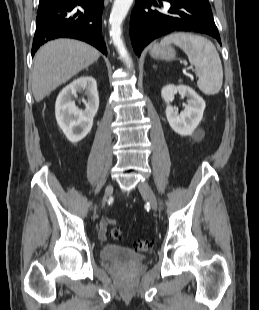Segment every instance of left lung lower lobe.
<instances>
[{
	"label": "left lung lower lobe",
	"instance_id": "0a47b994",
	"mask_svg": "<svg viewBox=\"0 0 259 310\" xmlns=\"http://www.w3.org/2000/svg\"><path fill=\"white\" fill-rule=\"evenodd\" d=\"M162 1L171 4L168 10ZM173 31L205 33L221 42L208 0H136L130 37L138 56L151 41Z\"/></svg>",
	"mask_w": 259,
	"mask_h": 310
}]
</instances>
